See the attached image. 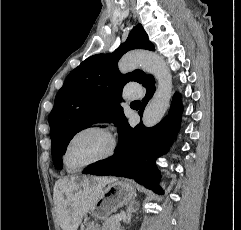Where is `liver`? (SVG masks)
Wrapping results in <instances>:
<instances>
[{
	"instance_id": "6515ba94",
	"label": "liver",
	"mask_w": 241,
	"mask_h": 230,
	"mask_svg": "<svg viewBox=\"0 0 241 230\" xmlns=\"http://www.w3.org/2000/svg\"><path fill=\"white\" fill-rule=\"evenodd\" d=\"M115 181V177H98L78 185L75 178L58 180L54 186V203L62 230H77L83 217L94 209L103 187Z\"/></svg>"
}]
</instances>
